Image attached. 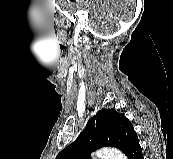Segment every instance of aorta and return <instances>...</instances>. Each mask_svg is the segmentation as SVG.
Here are the masks:
<instances>
[{"label":"aorta","mask_w":173,"mask_h":159,"mask_svg":"<svg viewBox=\"0 0 173 159\" xmlns=\"http://www.w3.org/2000/svg\"><path fill=\"white\" fill-rule=\"evenodd\" d=\"M98 159H127L126 156L117 149L103 148L95 153Z\"/></svg>","instance_id":"762f6f07"}]
</instances>
